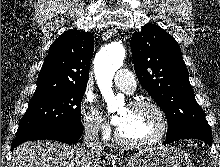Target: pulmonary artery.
<instances>
[{
	"instance_id": "obj_1",
	"label": "pulmonary artery",
	"mask_w": 220,
	"mask_h": 167,
	"mask_svg": "<svg viewBox=\"0 0 220 167\" xmlns=\"http://www.w3.org/2000/svg\"><path fill=\"white\" fill-rule=\"evenodd\" d=\"M114 83L122 91L131 94L136 89V80L127 69H119L114 75Z\"/></svg>"
}]
</instances>
